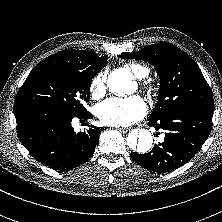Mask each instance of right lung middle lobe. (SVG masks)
<instances>
[{
    "label": "right lung middle lobe",
    "mask_w": 222,
    "mask_h": 222,
    "mask_svg": "<svg viewBox=\"0 0 222 222\" xmlns=\"http://www.w3.org/2000/svg\"><path fill=\"white\" fill-rule=\"evenodd\" d=\"M94 69L50 67L30 72L15 98V105L41 104L73 115L88 113ZM14 105V106H15Z\"/></svg>",
    "instance_id": "obj_1"
}]
</instances>
